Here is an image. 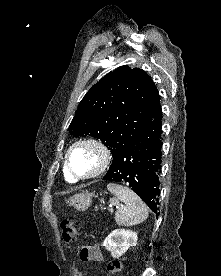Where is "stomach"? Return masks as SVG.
Returning a JSON list of instances; mask_svg holds the SVG:
<instances>
[{
    "label": "stomach",
    "instance_id": "obj_1",
    "mask_svg": "<svg viewBox=\"0 0 221 276\" xmlns=\"http://www.w3.org/2000/svg\"><path fill=\"white\" fill-rule=\"evenodd\" d=\"M92 203L91 194H77L69 199V204L79 211H85Z\"/></svg>",
    "mask_w": 221,
    "mask_h": 276
}]
</instances>
